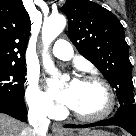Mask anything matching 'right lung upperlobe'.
<instances>
[{
	"label": "right lung upper lobe",
	"instance_id": "right-lung-upper-lobe-1",
	"mask_svg": "<svg viewBox=\"0 0 136 136\" xmlns=\"http://www.w3.org/2000/svg\"><path fill=\"white\" fill-rule=\"evenodd\" d=\"M31 21L21 0H0V64H25Z\"/></svg>",
	"mask_w": 136,
	"mask_h": 136
}]
</instances>
